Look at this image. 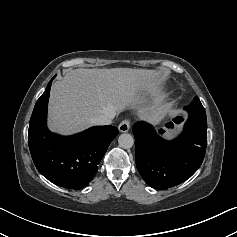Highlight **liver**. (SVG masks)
<instances>
[{
    "label": "liver",
    "mask_w": 237,
    "mask_h": 237,
    "mask_svg": "<svg viewBox=\"0 0 237 237\" xmlns=\"http://www.w3.org/2000/svg\"><path fill=\"white\" fill-rule=\"evenodd\" d=\"M155 70L112 68L69 70L51 88L49 128L68 135L93 125L92 119L133 107L144 91L159 87Z\"/></svg>",
    "instance_id": "obj_1"
}]
</instances>
